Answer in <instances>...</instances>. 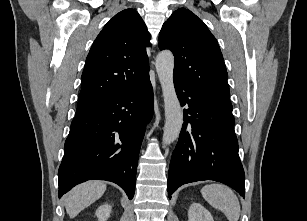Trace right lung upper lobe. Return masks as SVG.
<instances>
[{"mask_svg":"<svg viewBox=\"0 0 307 221\" xmlns=\"http://www.w3.org/2000/svg\"><path fill=\"white\" fill-rule=\"evenodd\" d=\"M149 38L134 9L123 10L109 20L87 56L77 108H90L142 86L149 77Z\"/></svg>","mask_w":307,"mask_h":221,"instance_id":"obj_1","label":"right lung upper lobe"}]
</instances>
